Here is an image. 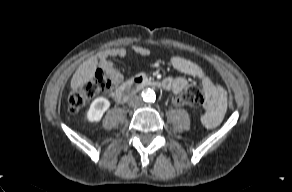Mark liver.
<instances>
[{"label":"liver","mask_w":292,"mask_h":192,"mask_svg":"<svg viewBox=\"0 0 292 192\" xmlns=\"http://www.w3.org/2000/svg\"><path fill=\"white\" fill-rule=\"evenodd\" d=\"M97 65L98 60L96 56H92L84 61L73 74L70 84L71 89L76 90L90 81L94 77Z\"/></svg>","instance_id":"1"}]
</instances>
